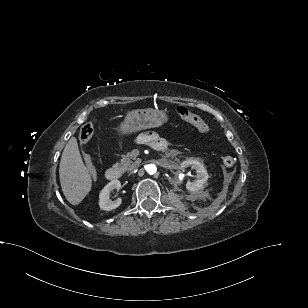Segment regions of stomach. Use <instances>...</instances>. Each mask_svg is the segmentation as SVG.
Returning <instances> with one entry per match:
<instances>
[{"mask_svg":"<svg viewBox=\"0 0 308 308\" xmlns=\"http://www.w3.org/2000/svg\"><path fill=\"white\" fill-rule=\"evenodd\" d=\"M165 111L154 108H143L129 111L119 125L118 132L129 135L144 129L160 127L168 121Z\"/></svg>","mask_w":308,"mask_h":308,"instance_id":"stomach-1","label":"stomach"}]
</instances>
